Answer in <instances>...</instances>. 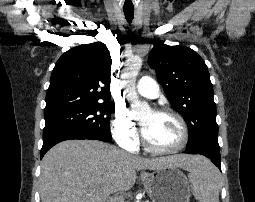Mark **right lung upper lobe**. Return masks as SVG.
Returning a JSON list of instances; mask_svg holds the SVG:
<instances>
[{
	"instance_id": "obj_1",
	"label": "right lung upper lobe",
	"mask_w": 255,
	"mask_h": 202,
	"mask_svg": "<svg viewBox=\"0 0 255 202\" xmlns=\"http://www.w3.org/2000/svg\"><path fill=\"white\" fill-rule=\"evenodd\" d=\"M111 62L109 50L99 42L65 52L52 71L44 114L102 100L111 103Z\"/></svg>"
}]
</instances>
